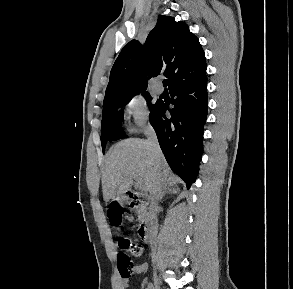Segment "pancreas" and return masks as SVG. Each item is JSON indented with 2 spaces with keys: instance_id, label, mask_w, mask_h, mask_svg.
Wrapping results in <instances>:
<instances>
[{
  "instance_id": "obj_1",
  "label": "pancreas",
  "mask_w": 293,
  "mask_h": 289,
  "mask_svg": "<svg viewBox=\"0 0 293 289\" xmlns=\"http://www.w3.org/2000/svg\"><path fill=\"white\" fill-rule=\"evenodd\" d=\"M137 213H138L139 220L141 221L145 215V209L143 205L138 206Z\"/></svg>"
}]
</instances>
